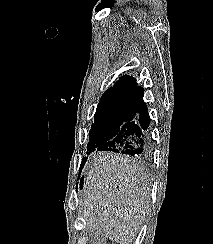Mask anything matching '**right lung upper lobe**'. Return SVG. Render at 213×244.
<instances>
[{
	"label": "right lung upper lobe",
	"instance_id": "obj_1",
	"mask_svg": "<svg viewBox=\"0 0 213 244\" xmlns=\"http://www.w3.org/2000/svg\"><path fill=\"white\" fill-rule=\"evenodd\" d=\"M144 89L138 86L134 77L124 75L117 81L113 87L109 88L101 97L110 98L117 96H129L137 98Z\"/></svg>",
	"mask_w": 213,
	"mask_h": 244
}]
</instances>
